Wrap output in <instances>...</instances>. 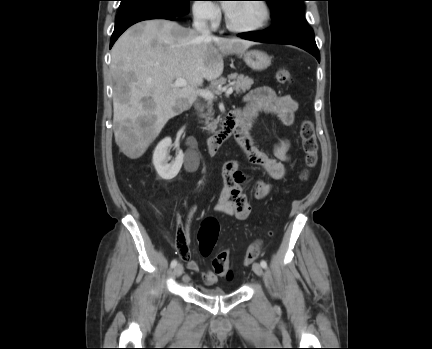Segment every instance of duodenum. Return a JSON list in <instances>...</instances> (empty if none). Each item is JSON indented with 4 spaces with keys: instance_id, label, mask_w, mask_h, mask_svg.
Instances as JSON below:
<instances>
[{
    "instance_id": "obj_1",
    "label": "duodenum",
    "mask_w": 432,
    "mask_h": 349,
    "mask_svg": "<svg viewBox=\"0 0 432 349\" xmlns=\"http://www.w3.org/2000/svg\"><path fill=\"white\" fill-rule=\"evenodd\" d=\"M240 121V111H232L224 117L220 129L207 140L209 154H218L219 150L226 143V141L236 132Z\"/></svg>"
}]
</instances>
